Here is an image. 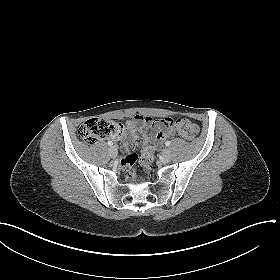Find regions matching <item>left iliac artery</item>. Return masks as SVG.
<instances>
[{
    "label": "left iliac artery",
    "instance_id": "left-iliac-artery-1",
    "mask_svg": "<svg viewBox=\"0 0 280 280\" xmlns=\"http://www.w3.org/2000/svg\"><path fill=\"white\" fill-rule=\"evenodd\" d=\"M170 144H171L170 141H166V142H165V145H166V146H170Z\"/></svg>",
    "mask_w": 280,
    "mask_h": 280
}]
</instances>
